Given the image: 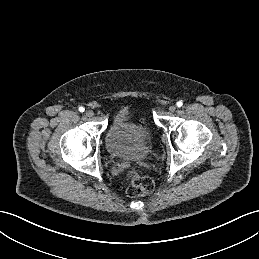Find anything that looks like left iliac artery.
Returning <instances> with one entry per match:
<instances>
[{"label":"left iliac artery","mask_w":259,"mask_h":259,"mask_svg":"<svg viewBox=\"0 0 259 259\" xmlns=\"http://www.w3.org/2000/svg\"><path fill=\"white\" fill-rule=\"evenodd\" d=\"M176 105H177V107H181V106L183 105V103H182L181 101H178V102L176 103Z\"/></svg>","instance_id":"44dca946"}]
</instances>
